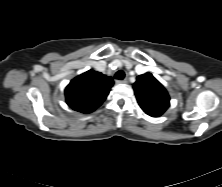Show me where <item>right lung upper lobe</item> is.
Wrapping results in <instances>:
<instances>
[{"label":"right lung upper lobe","mask_w":222,"mask_h":187,"mask_svg":"<svg viewBox=\"0 0 222 187\" xmlns=\"http://www.w3.org/2000/svg\"><path fill=\"white\" fill-rule=\"evenodd\" d=\"M113 84L111 77L89 70L68 84L66 102L75 111L91 113L103 103Z\"/></svg>","instance_id":"cb5924a9"}]
</instances>
